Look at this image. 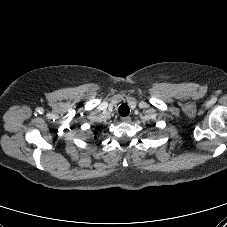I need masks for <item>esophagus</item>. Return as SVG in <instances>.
Segmentation results:
<instances>
[{
	"label": "esophagus",
	"mask_w": 227,
	"mask_h": 227,
	"mask_svg": "<svg viewBox=\"0 0 227 227\" xmlns=\"http://www.w3.org/2000/svg\"><path fill=\"white\" fill-rule=\"evenodd\" d=\"M131 120V118L129 116H125L121 118V121L123 122H129Z\"/></svg>",
	"instance_id": "obj_1"
}]
</instances>
